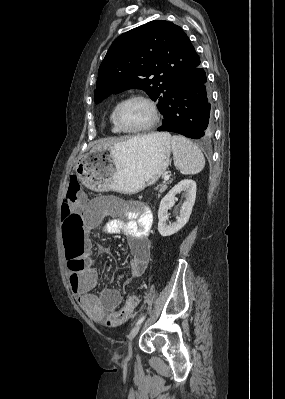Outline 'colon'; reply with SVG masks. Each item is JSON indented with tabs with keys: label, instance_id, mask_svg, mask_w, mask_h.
Instances as JSON below:
<instances>
[{
	"label": "colon",
	"instance_id": "1",
	"mask_svg": "<svg viewBox=\"0 0 285 399\" xmlns=\"http://www.w3.org/2000/svg\"><path fill=\"white\" fill-rule=\"evenodd\" d=\"M81 185L76 178H71L68 184L67 194L62 204V221L65 226L64 239L67 248L68 270L71 274H77L87 264L88 253L84 246L75 237V229L79 225V218L75 212L80 204ZM132 310L131 304L127 303L117 313L118 319L129 317Z\"/></svg>",
	"mask_w": 285,
	"mask_h": 399
}]
</instances>
